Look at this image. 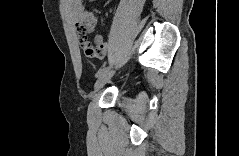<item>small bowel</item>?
I'll return each mask as SVG.
<instances>
[{
    "instance_id": "c3829d8e",
    "label": "small bowel",
    "mask_w": 239,
    "mask_h": 156,
    "mask_svg": "<svg viewBox=\"0 0 239 156\" xmlns=\"http://www.w3.org/2000/svg\"><path fill=\"white\" fill-rule=\"evenodd\" d=\"M68 10L73 17V19L76 23V26H78L80 23L86 22L87 20H91L92 23L95 25V19L91 16V14L89 12H87L84 9L81 1H79V0L70 1ZM77 34H78V32H77ZM82 39H83V37L78 34V41L83 48V45L81 42ZM96 42H97V45L94 46V48H95L94 52H92V53L86 52V54L89 57L102 58L108 49V44L106 42H103L100 38H97Z\"/></svg>"
}]
</instances>
